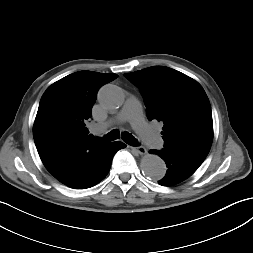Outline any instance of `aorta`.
Wrapping results in <instances>:
<instances>
[{"label":"aorta","instance_id":"762f6f07","mask_svg":"<svg viewBox=\"0 0 253 253\" xmlns=\"http://www.w3.org/2000/svg\"><path fill=\"white\" fill-rule=\"evenodd\" d=\"M124 100L125 97L121 88L113 84L103 86L98 94L100 105L108 111L120 108ZM140 166L142 172L152 180H160L165 176L166 164L157 155H145L141 160Z\"/></svg>","mask_w":253,"mask_h":253}]
</instances>
